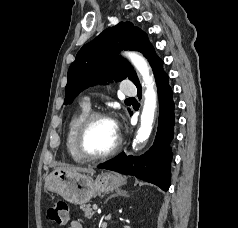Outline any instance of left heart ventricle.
Segmentation results:
<instances>
[{
  "label": "left heart ventricle",
  "instance_id": "left-heart-ventricle-1",
  "mask_svg": "<svg viewBox=\"0 0 238 228\" xmlns=\"http://www.w3.org/2000/svg\"><path fill=\"white\" fill-rule=\"evenodd\" d=\"M117 137L110 119H97L85 137V149L94 155L103 154L116 144Z\"/></svg>",
  "mask_w": 238,
  "mask_h": 228
}]
</instances>
